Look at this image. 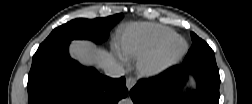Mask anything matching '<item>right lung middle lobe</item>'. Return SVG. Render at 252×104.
<instances>
[{"instance_id": "dd1d6c3e", "label": "right lung middle lobe", "mask_w": 252, "mask_h": 104, "mask_svg": "<svg viewBox=\"0 0 252 104\" xmlns=\"http://www.w3.org/2000/svg\"><path fill=\"white\" fill-rule=\"evenodd\" d=\"M123 14L105 18L74 19L54 29L38 50L62 43H70L74 39L92 40L99 44L107 40L110 30L121 20Z\"/></svg>"}]
</instances>
